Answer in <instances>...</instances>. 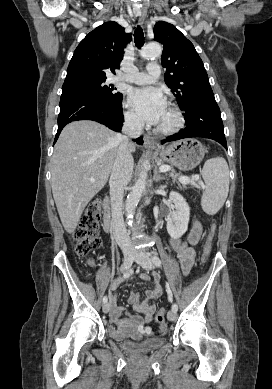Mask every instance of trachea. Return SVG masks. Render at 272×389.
Wrapping results in <instances>:
<instances>
[{"mask_svg":"<svg viewBox=\"0 0 272 389\" xmlns=\"http://www.w3.org/2000/svg\"><path fill=\"white\" fill-rule=\"evenodd\" d=\"M134 41L136 47L140 48L144 44V33L141 27H137L135 32H134Z\"/></svg>","mask_w":272,"mask_h":389,"instance_id":"trachea-1","label":"trachea"}]
</instances>
